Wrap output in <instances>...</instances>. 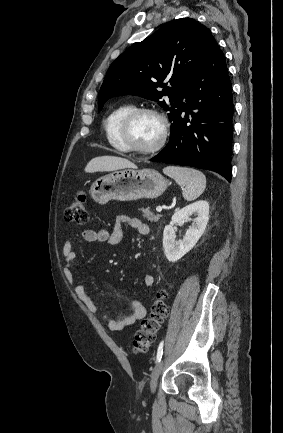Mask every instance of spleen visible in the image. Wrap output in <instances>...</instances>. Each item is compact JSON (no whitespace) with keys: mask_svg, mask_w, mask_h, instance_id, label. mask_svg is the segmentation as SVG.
Returning <instances> with one entry per match:
<instances>
[{"mask_svg":"<svg viewBox=\"0 0 283 433\" xmlns=\"http://www.w3.org/2000/svg\"><path fill=\"white\" fill-rule=\"evenodd\" d=\"M164 174H168L176 180L183 188L185 200H195L206 188V176L196 168H187V166H165Z\"/></svg>","mask_w":283,"mask_h":433,"instance_id":"1","label":"spleen"}]
</instances>
